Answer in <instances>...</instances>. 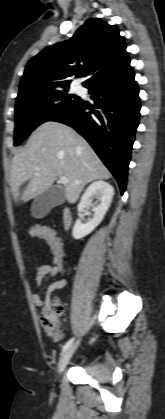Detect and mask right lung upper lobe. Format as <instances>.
<instances>
[{
  "mask_svg": "<svg viewBox=\"0 0 165 419\" xmlns=\"http://www.w3.org/2000/svg\"><path fill=\"white\" fill-rule=\"evenodd\" d=\"M128 62L119 31L100 19H89L69 40L45 48L28 62L17 101L39 92L68 88L73 75L88 76L83 82L87 88Z\"/></svg>",
  "mask_w": 165,
  "mask_h": 419,
  "instance_id": "right-lung-upper-lobe-1",
  "label": "right lung upper lobe"
}]
</instances>
